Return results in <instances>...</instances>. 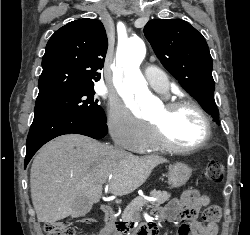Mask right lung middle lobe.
<instances>
[{"label":"right lung middle lobe","mask_w":250,"mask_h":235,"mask_svg":"<svg viewBox=\"0 0 250 235\" xmlns=\"http://www.w3.org/2000/svg\"><path fill=\"white\" fill-rule=\"evenodd\" d=\"M94 94V85H92L39 97L36 99L34 112H66L106 122L104 110L98 105V99Z\"/></svg>","instance_id":"obj_1"}]
</instances>
